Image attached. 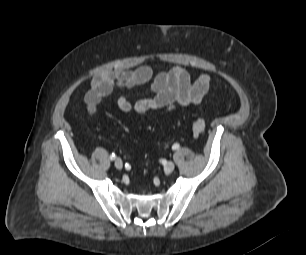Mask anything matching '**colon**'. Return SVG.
Wrapping results in <instances>:
<instances>
[{
  "label": "colon",
  "mask_w": 306,
  "mask_h": 255,
  "mask_svg": "<svg viewBox=\"0 0 306 255\" xmlns=\"http://www.w3.org/2000/svg\"><path fill=\"white\" fill-rule=\"evenodd\" d=\"M206 128V122L204 119L202 118H196L193 122H192V130L195 134L199 135L201 133L204 132Z\"/></svg>",
  "instance_id": "obj_1"
}]
</instances>
